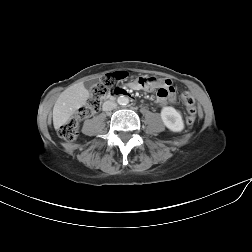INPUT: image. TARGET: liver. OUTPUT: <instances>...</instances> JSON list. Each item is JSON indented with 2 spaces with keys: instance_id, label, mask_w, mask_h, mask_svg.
Returning a JSON list of instances; mask_svg holds the SVG:
<instances>
[{
  "instance_id": "obj_1",
  "label": "liver",
  "mask_w": 252,
  "mask_h": 252,
  "mask_svg": "<svg viewBox=\"0 0 252 252\" xmlns=\"http://www.w3.org/2000/svg\"><path fill=\"white\" fill-rule=\"evenodd\" d=\"M89 98V92L83 83L71 85L64 90L55 102L53 107V125L58 130L70 119V117L83 105Z\"/></svg>"
}]
</instances>
